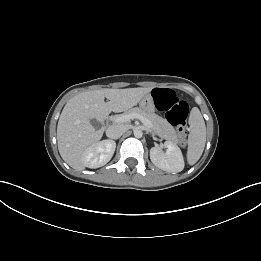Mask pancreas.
<instances>
[{
  "instance_id": "pancreas-1",
  "label": "pancreas",
  "mask_w": 261,
  "mask_h": 261,
  "mask_svg": "<svg viewBox=\"0 0 261 261\" xmlns=\"http://www.w3.org/2000/svg\"><path fill=\"white\" fill-rule=\"evenodd\" d=\"M128 114H139V115L143 116L144 118L148 119L151 122L152 130L159 137L166 139L167 141L172 142V143L179 142L176 131L173 128V126L170 125L166 119L158 116L157 114H155L153 112H146L137 107L131 108L124 113V115H128ZM116 117L117 116L113 117L114 121H115Z\"/></svg>"
}]
</instances>
